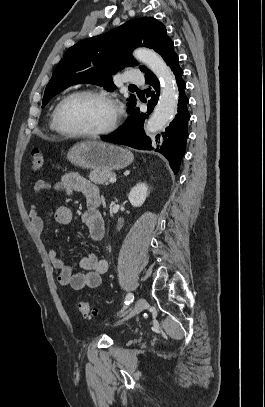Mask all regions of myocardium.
I'll use <instances>...</instances> for the list:
<instances>
[{
	"instance_id": "myocardium-1",
	"label": "myocardium",
	"mask_w": 265,
	"mask_h": 407,
	"mask_svg": "<svg viewBox=\"0 0 265 407\" xmlns=\"http://www.w3.org/2000/svg\"><path fill=\"white\" fill-rule=\"evenodd\" d=\"M80 96L93 97L103 100L112 107L113 118L107 127L94 132H79L69 130L64 126L62 121V110L64 105L70 99ZM54 118L57 130L64 136L72 138H98L112 133L117 128L120 119V112L116 102L109 95L95 90H78L71 92L64 98H62V100L58 103V105L55 108Z\"/></svg>"
}]
</instances>
